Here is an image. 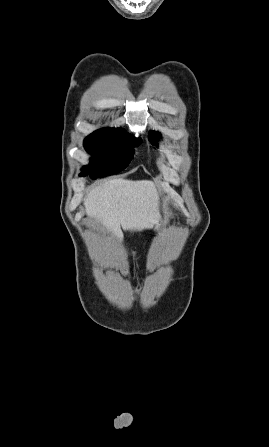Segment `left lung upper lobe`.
<instances>
[{
	"mask_svg": "<svg viewBox=\"0 0 269 447\" xmlns=\"http://www.w3.org/2000/svg\"><path fill=\"white\" fill-rule=\"evenodd\" d=\"M161 137L159 132L151 131L149 132V140L152 144H156L157 140Z\"/></svg>",
	"mask_w": 269,
	"mask_h": 447,
	"instance_id": "1",
	"label": "left lung upper lobe"
}]
</instances>
